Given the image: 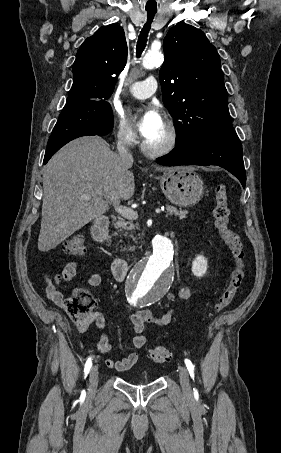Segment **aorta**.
<instances>
[{
    "mask_svg": "<svg viewBox=\"0 0 281 453\" xmlns=\"http://www.w3.org/2000/svg\"><path fill=\"white\" fill-rule=\"evenodd\" d=\"M161 52H148L142 61L145 69L163 63ZM153 255L137 263L130 271L126 282L129 300L134 305L149 306L160 301L169 291L174 278L171 267L174 249L170 239L156 236L152 240Z\"/></svg>",
    "mask_w": 281,
    "mask_h": 453,
    "instance_id": "obj_1",
    "label": "aorta"
}]
</instances>
